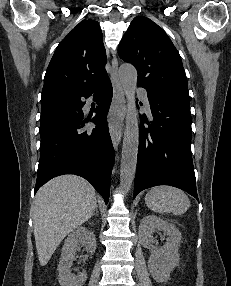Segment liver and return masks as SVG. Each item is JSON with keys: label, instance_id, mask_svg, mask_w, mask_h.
Returning a JSON list of instances; mask_svg holds the SVG:
<instances>
[{"label": "liver", "instance_id": "6515ba94", "mask_svg": "<svg viewBox=\"0 0 231 286\" xmlns=\"http://www.w3.org/2000/svg\"><path fill=\"white\" fill-rule=\"evenodd\" d=\"M96 207L95 189L76 175L56 177L38 190L32 218L40 265L49 262L66 235L90 219Z\"/></svg>", "mask_w": 231, "mask_h": 286}]
</instances>
